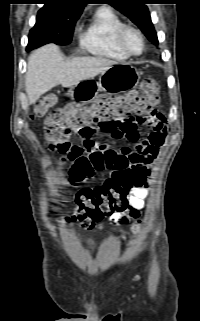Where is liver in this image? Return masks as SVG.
<instances>
[{"label":"liver","instance_id":"liver-1","mask_svg":"<svg viewBox=\"0 0 200 321\" xmlns=\"http://www.w3.org/2000/svg\"><path fill=\"white\" fill-rule=\"evenodd\" d=\"M117 64L103 57H76L65 60L56 45H45L28 58L26 73V93L30 103H35L41 95L53 87H72L79 82L94 78Z\"/></svg>","mask_w":200,"mask_h":321}]
</instances>
